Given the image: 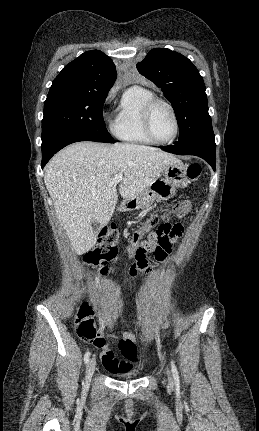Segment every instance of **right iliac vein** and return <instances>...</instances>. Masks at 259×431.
<instances>
[{"label": "right iliac vein", "instance_id": "1", "mask_svg": "<svg viewBox=\"0 0 259 431\" xmlns=\"http://www.w3.org/2000/svg\"><path fill=\"white\" fill-rule=\"evenodd\" d=\"M95 367H96L95 361L93 359H90L87 363V368H86L85 380H86L87 385L90 383V381L92 379V376H93L94 371H95Z\"/></svg>", "mask_w": 259, "mask_h": 431}]
</instances>
